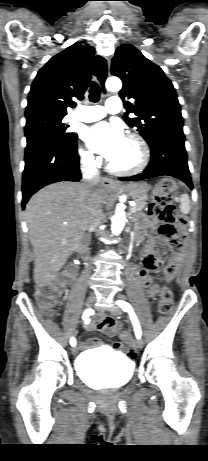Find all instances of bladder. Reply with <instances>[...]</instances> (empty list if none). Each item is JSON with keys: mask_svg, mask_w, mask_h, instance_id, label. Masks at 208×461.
<instances>
[{"mask_svg": "<svg viewBox=\"0 0 208 461\" xmlns=\"http://www.w3.org/2000/svg\"><path fill=\"white\" fill-rule=\"evenodd\" d=\"M75 369L90 387L118 389L132 378L134 363L130 358L113 352H86L76 360Z\"/></svg>", "mask_w": 208, "mask_h": 461, "instance_id": "obj_1", "label": "bladder"}]
</instances>
